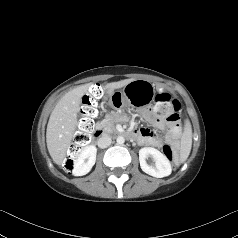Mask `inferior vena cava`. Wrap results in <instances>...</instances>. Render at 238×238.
<instances>
[{
	"label": "inferior vena cava",
	"instance_id": "602c4592",
	"mask_svg": "<svg viewBox=\"0 0 238 238\" xmlns=\"http://www.w3.org/2000/svg\"><path fill=\"white\" fill-rule=\"evenodd\" d=\"M112 140L108 135H102L99 139H98V147L100 148H106L111 144Z\"/></svg>",
	"mask_w": 238,
	"mask_h": 238
}]
</instances>
